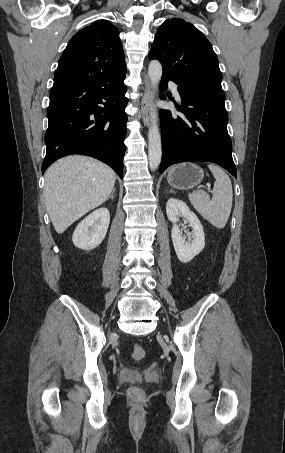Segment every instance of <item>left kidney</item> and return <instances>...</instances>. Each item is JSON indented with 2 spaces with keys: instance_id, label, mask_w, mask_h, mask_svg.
I'll return each mask as SVG.
<instances>
[{
  "instance_id": "left-kidney-1",
  "label": "left kidney",
  "mask_w": 285,
  "mask_h": 453,
  "mask_svg": "<svg viewBox=\"0 0 285 453\" xmlns=\"http://www.w3.org/2000/svg\"><path fill=\"white\" fill-rule=\"evenodd\" d=\"M166 214L168 219L173 223L171 237L176 255L181 262L188 263L198 255L205 246V234L201 222L186 203L176 198H170L168 200L166 204ZM180 217H184L193 229L192 235L188 236V241L182 236V233L176 224Z\"/></svg>"
}]
</instances>
